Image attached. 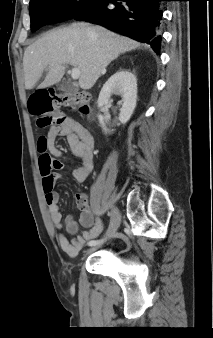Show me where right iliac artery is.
<instances>
[{"label":"right iliac artery","mask_w":213,"mask_h":338,"mask_svg":"<svg viewBox=\"0 0 213 338\" xmlns=\"http://www.w3.org/2000/svg\"><path fill=\"white\" fill-rule=\"evenodd\" d=\"M102 242H103V240H91V241L88 242V245L89 246H96V245H98Z\"/></svg>","instance_id":"right-iliac-artery-1"}]
</instances>
